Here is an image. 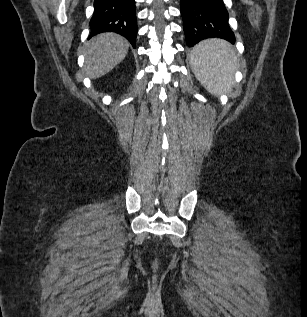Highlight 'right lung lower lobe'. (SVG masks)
Instances as JSON below:
<instances>
[{"label":"right lung lower lobe","instance_id":"98d812e1","mask_svg":"<svg viewBox=\"0 0 307 317\" xmlns=\"http://www.w3.org/2000/svg\"><path fill=\"white\" fill-rule=\"evenodd\" d=\"M90 28L89 38L102 32H115L124 36L135 48V0H95Z\"/></svg>","mask_w":307,"mask_h":317}]
</instances>
